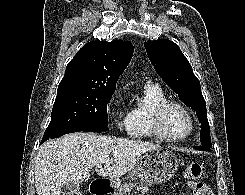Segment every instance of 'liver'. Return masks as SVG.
<instances>
[{"label": "liver", "instance_id": "6515ba94", "mask_svg": "<svg viewBox=\"0 0 245 195\" xmlns=\"http://www.w3.org/2000/svg\"><path fill=\"white\" fill-rule=\"evenodd\" d=\"M159 144L128 140L93 133L76 132L43 144L35 162L37 195H60L65 183H81L90 178L98 164L101 177L118 178L132 170L146 152Z\"/></svg>", "mask_w": 245, "mask_h": 195}]
</instances>
